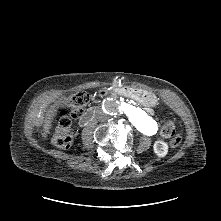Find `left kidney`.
I'll return each instance as SVG.
<instances>
[{
    "instance_id": "left-kidney-1",
    "label": "left kidney",
    "mask_w": 221,
    "mask_h": 221,
    "mask_svg": "<svg viewBox=\"0 0 221 221\" xmlns=\"http://www.w3.org/2000/svg\"><path fill=\"white\" fill-rule=\"evenodd\" d=\"M154 153L159 157H165L168 153V144L164 141H156L153 145Z\"/></svg>"
}]
</instances>
